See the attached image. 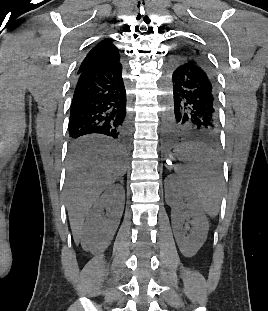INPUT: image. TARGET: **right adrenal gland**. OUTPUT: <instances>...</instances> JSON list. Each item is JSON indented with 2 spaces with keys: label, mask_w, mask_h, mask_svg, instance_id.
Instances as JSON below:
<instances>
[{
  "label": "right adrenal gland",
  "mask_w": 268,
  "mask_h": 311,
  "mask_svg": "<svg viewBox=\"0 0 268 311\" xmlns=\"http://www.w3.org/2000/svg\"><path fill=\"white\" fill-rule=\"evenodd\" d=\"M121 184H123V179L120 180Z\"/></svg>",
  "instance_id": "obj_1"
}]
</instances>
